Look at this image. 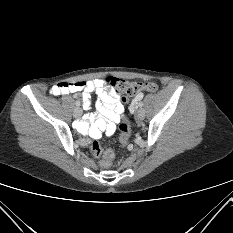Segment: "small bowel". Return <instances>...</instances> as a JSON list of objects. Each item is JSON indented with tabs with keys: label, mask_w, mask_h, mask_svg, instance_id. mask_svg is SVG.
Returning <instances> with one entry per match:
<instances>
[{
	"label": "small bowel",
	"mask_w": 233,
	"mask_h": 233,
	"mask_svg": "<svg viewBox=\"0 0 233 233\" xmlns=\"http://www.w3.org/2000/svg\"><path fill=\"white\" fill-rule=\"evenodd\" d=\"M80 91H82V102L85 110L91 108V95L96 94L98 98L96 102L97 112L87 114L84 120L77 123L76 129L93 138H100L103 134L112 135L123 118L124 106L114 90L108 91V86L104 80L61 82L50 89V93L55 96ZM138 95L143 94L139 93Z\"/></svg>",
	"instance_id": "obj_1"
}]
</instances>
